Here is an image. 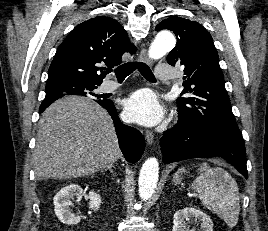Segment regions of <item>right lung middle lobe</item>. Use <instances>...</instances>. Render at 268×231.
I'll use <instances>...</instances> for the list:
<instances>
[{
  "instance_id": "right-lung-middle-lobe-1",
  "label": "right lung middle lobe",
  "mask_w": 268,
  "mask_h": 231,
  "mask_svg": "<svg viewBox=\"0 0 268 231\" xmlns=\"http://www.w3.org/2000/svg\"><path fill=\"white\" fill-rule=\"evenodd\" d=\"M99 85L78 81H56L46 84V96L44 100H57L66 95H81L87 97H99L94 93Z\"/></svg>"
}]
</instances>
